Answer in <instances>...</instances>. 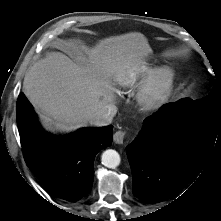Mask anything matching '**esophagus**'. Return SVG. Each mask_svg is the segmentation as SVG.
<instances>
[{"label": "esophagus", "mask_w": 221, "mask_h": 221, "mask_svg": "<svg viewBox=\"0 0 221 221\" xmlns=\"http://www.w3.org/2000/svg\"><path fill=\"white\" fill-rule=\"evenodd\" d=\"M126 137V132L123 130H118L113 135V140L116 144H122Z\"/></svg>", "instance_id": "34e87169"}]
</instances>
